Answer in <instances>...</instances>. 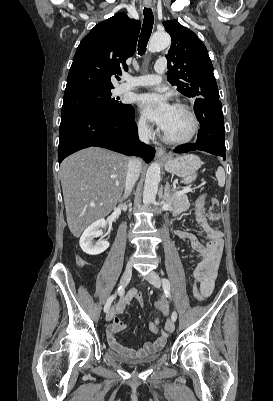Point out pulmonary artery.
I'll return each mask as SVG.
<instances>
[{"label":"pulmonary artery","instance_id":"1","mask_svg":"<svg viewBox=\"0 0 273 401\" xmlns=\"http://www.w3.org/2000/svg\"><path fill=\"white\" fill-rule=\"evenodd\" d=\"M157 66L156 69L158 70V74H161V72H164L166 70V59L164 57H159L157 59ZM158 74H139L136 77V81L132 80L127 81L123 80L120 83L121 88L125 90H130V89H146L148 87V83H158L163 80V77ZM130 86V88H129Z\"/></svg>","mask_w":273,"mask_h":401}]
</instances>
